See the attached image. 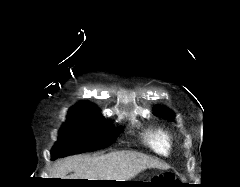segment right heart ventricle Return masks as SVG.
<instances>
[{"label": "right heart ventricle", "mask_w": 240, "mask_h": 187, "mask_svg": "<svg viewBox=\"0 0 240 187\" xmlns=\"http://www.w3.org/2000/svg\"><path fill=\"white\" fill-rule=\"evenodd\" d=\"M145 144L156 154L169 156L173 149V137L163 128H150L143 136Z\"/></svg>", "instance_id": "obj_1"}]
</instances>
